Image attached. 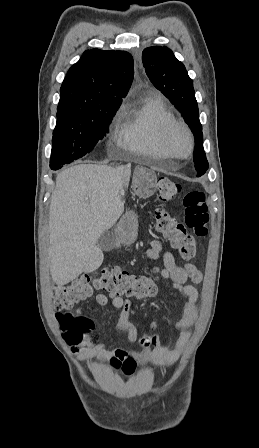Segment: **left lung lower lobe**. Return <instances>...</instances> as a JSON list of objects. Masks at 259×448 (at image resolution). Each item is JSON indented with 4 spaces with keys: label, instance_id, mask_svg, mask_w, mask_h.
<instances>
[{
    "label": "left lung lower lobe",
    "instance_id": "1",
    "mask_svg": "<svg viewBox=\"0 0 259 448\" xmlns=\"http://www.w3.org/2000/svg\"><path fill=\"white\" fill-rule=\"evenodd\" d=\"M203 174H204V173H198L197 176H201V175H203Z\"/></svg>",
    "mask_w": 259,
    "mask_h": 448
}]
</instances>
